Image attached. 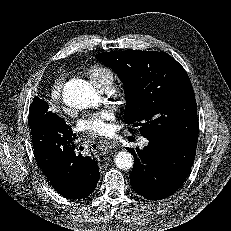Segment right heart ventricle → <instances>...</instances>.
Masks as SVG:
<instances>
[{
	"label": "right heart ventricle",
	"mask_w": 231,
	"mask_h": 231,
	"mask_svg": "<svg viewBox=\"0 0 231 231\" xmlns=\"http://www.w3.org/2000/svg\"><path fill=\"white\" fill-rule=\"evenodd\" d=\"M89 77L93 84L101 90L105 86L112 85L115 74L110 68L104 65H97L89 71Z\"/></svg>",
	"instance_id": "1"
}]
</instances>
